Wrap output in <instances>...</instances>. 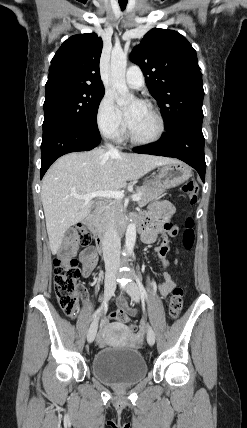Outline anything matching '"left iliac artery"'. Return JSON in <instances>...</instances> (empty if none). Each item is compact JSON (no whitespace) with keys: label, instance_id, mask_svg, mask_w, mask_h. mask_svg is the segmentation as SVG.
I'll list each match as a JSON object with an SVG mask.
<instances>
[{"label":"left iliac artery","instance_id":"left-iliac-artery-1","mask_svg":"<svg viewBox=\"0 0 247 428\" xmlns=\"http://www.w3.org/2000/svg\"><path fill=\"white\" fill-rule=\"evenodd\" d=\"M135 278H136V282L138 284L141 296L148 301V295H147V292H146L142 282L140 281V279L136 275H135Z\"/></svg>","mask_w":247,"mask_h":428}]
</instances>
